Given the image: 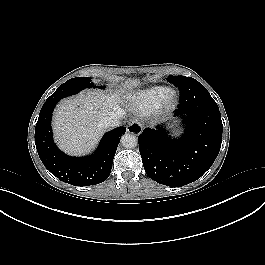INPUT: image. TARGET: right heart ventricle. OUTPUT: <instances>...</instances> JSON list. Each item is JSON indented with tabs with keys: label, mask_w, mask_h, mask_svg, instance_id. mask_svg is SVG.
<instances>
[{
	"label": "right heart ventricle",
	"mask_w": 265,
	"mask_h": 265,
	"mask_svg": "<svg viewBox=\"0 0 265 265\" xmlns=\"http://www.w3.org/2000/svg\"><path fill=\"white\" fill-rule=\"evenodd\" d=\"M170 91L166 86L151 87L135 96V104L142 114H150Z\"/></svg>",
	"instance_id": "1"
}]
</instances>
